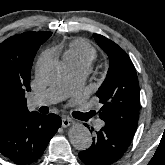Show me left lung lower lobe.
<instances>
[{
  "instance_id": "obj_1",
  "label": "left lung lower lobe",
  "mask_w": 165,
  "mask_h": 165,
  "mask_svg": "<svg viewBox=\"0 0 165 165\" xmlns=\"http://www.w3.org/2000/svg\"><path fill=\"white\" fill-rule=\"evenodd\" d=\"M132 138L133 135L105 123L99 131H96L91 147L79 152V158L86 165L113 164L122 157Z\"/></svg>"
}]
</instances>
